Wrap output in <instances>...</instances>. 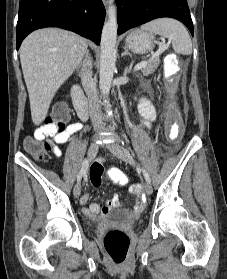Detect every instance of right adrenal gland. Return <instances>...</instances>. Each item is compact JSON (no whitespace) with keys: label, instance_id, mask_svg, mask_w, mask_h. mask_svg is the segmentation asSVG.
I'll return each mask as SVG.
<instances>
[{"label":"right adrenal gland","instance_id":"2a0ac1e0","mask_svg":"<svg viewBox=\"0 0 227 279\" xmlns=\"http://www.w3.org/2000/svg\"><path fill=\"white\" fill-rule=\"evenodd\" d=\"M90 67H92V57L89 50H87L84 59L77 66L79 76H81Z\"/></svg>","mask_w":227,"mask_h":279}]
</instances>
